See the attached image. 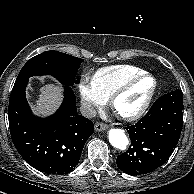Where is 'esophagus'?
Returning a JSON list of instances; mask_svg holds the SVG:
<instances>
[{
	"mask_svg": "<svg viewBox=\"0 0 194 194\" xmlns=\"http://www.w3.org/2000/svg\"><path fill=\"white\" fill-rule=\"evenodd\" d=\"M107 128H108L107 124H104V123H96L95 124L96 131H103V130H106Z\"/></svg>",
	"mask_w": 194,
	"mask_h": 194,
	"instance_id": "1",
	"label": "esophagus"
}]
</instances>
